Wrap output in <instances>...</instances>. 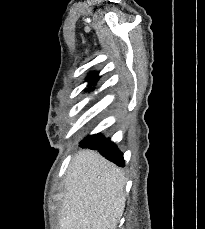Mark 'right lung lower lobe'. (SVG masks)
Returning <instances> with one entry per match:
<instances>
[{
    "mask_svg": "<svg viewBox=\"0 0 205 229\" xmlns=\"http://www.w3.org/2000/svg\"><path fill=\"white\" fill-rule=\"evenodd\" d=\"M82 148H89L98 150L106 159L114 162L118 166L124 167V159L122 153L118 150L116 145L109 139H106L101 134H95L85 138L80 143Z\"/></svg>",
    "mask_w": 205,
    "mask_h": 229,
    "instance_id": "obj_1",
    "label": "right lung lower lobe"
}]
</instances>
